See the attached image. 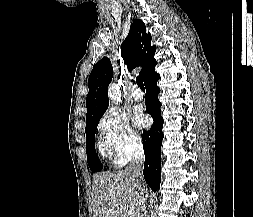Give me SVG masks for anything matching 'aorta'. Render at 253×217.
<instances>
[{
    "label": "aorta",
    "mask_w": 253,
    "mask_h": 217,
    "mask_svg": "<svg viewBox=\"0 0 253 217\" xmlns=\"http://www.w3.org/2000/svg\"><path fill=\"white\" fill-rule=\"evenodd\" d=\"M108 95L111 102L118 103L121 101V91L118 85L112 83L108 88Z\"/></svg>",
    "instance_id": "aorta-1"
}]
</instances>
